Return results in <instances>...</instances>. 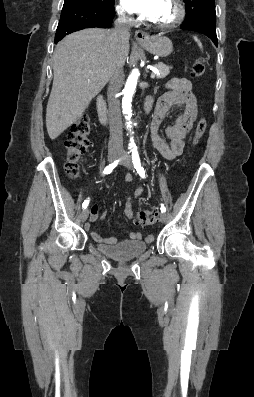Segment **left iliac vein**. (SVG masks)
<instances>
[{
	"instance_id": "obj_1",
	"label": "left iliac vein",
	"mask_w": 254,
	"mask_h": 397,
	"mask_svg": "<svg viewBox=\"0 0 254 397\" xmlns=\"http://www.w3.org/2000/svg\"><path fill=\"white\" fill-rule=\"evenodd\" d=\"M122 164L129 169L132 168L133 164H132L131 156L129 154H126V153L124 154ZM160 221L162 223H164L166 221V214L163 212H161V214H160Z\"/></svg>"
}]
</instances>
